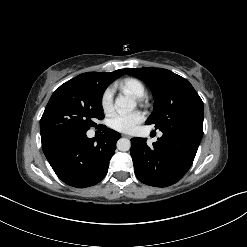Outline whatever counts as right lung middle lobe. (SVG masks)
Listing matches in <instances>:
<instances>
[{"label":"right lung middle lobe","instance_id":"dd1d6c3e","mask_svg":"<svg viewBox=\"0 0 247 247\" xmlns=\"http://www.w3.org/2000/svg\"><path fill=\"white\" fill-rule=\"evenodd\" d=\"M108 85L87 75L62 84L51 96L40 120L41 138L86 133L94 120L103 119L102 95Z\"/></svg>","mask_w":247,"mask_h":247}]
</instances>
